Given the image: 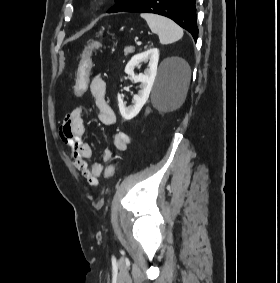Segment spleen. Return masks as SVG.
<instances>
[{
	"label": "spleen",
	"instance_id": "1",
	"mask_svg": "<svg viewBox=\"0 0 280 283\" xmlns=\"http://www.w3.org/2000/svg\"><path fill=\"white\" fill-rule=\"evenodd\" d=\"M141 17L146 20L150 30L159 36L161 44H170L183 37V30L171 19L150 13H142ZM190 79V70L187 68L184 83L187 85Z\"/></svg>",
	"mask_w": 280,
	"mask_h": 283
}]
</instances>
